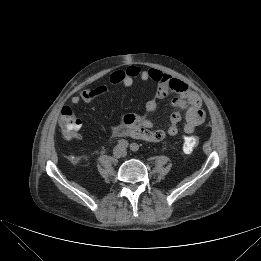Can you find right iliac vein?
Masks as SVG:
<instances>
[{
  "label": "right iliac vein",
  "instance_id": "1",
  "mask_svg": "<svg viewBox=\"0 0 261 261\" xmlns=\"http://www.w3.org/2000/svg\"><path fill=\"white\" fill-rule=\"evenodd\" d=\"M122 152H123V149L121 147L117 146L113 150V155H114V157H119V156H121Z\"/></svg>",
  "mask_w": 261,
  "mask_h": 261
}]
</instances>
